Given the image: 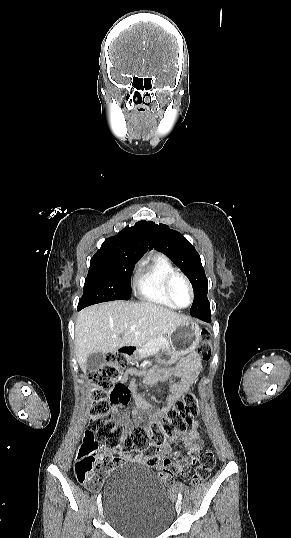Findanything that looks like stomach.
Listing matches in <instances>:
<instances>
[{
  "label": "stomach",
  "instance_id": "obj_1",
  "mask_svg": "<svg viewBox=\"0 0 291 538\" xmlns=\"http://www.w3.org/2000/svg\"><path fill=\"white\" fill-rule=\"evenodd\" d=\"M168 337L171 347L155 354L157 362L163 366L186 363L183 357L194 352L201 340V329L197 323L189 320L172 330ZM136 359V354L128 356L129 361Z\"/></svg>",
  "mask_w": 291,
  "mask_h": 538
}]
</instances>
